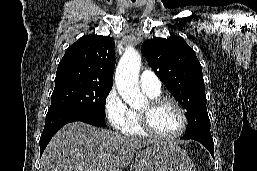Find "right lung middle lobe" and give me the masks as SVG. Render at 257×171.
Segmentation results:
<instances>
[{"label":"right lung middle lobe","instance_id":"obj_1","mask_svg":"<svg viewBox=\"0 0 257 171\" xmlns=\"http://www.w3.org/2000/svg\"><path fill=\"white\" fill-rule=\"evenodd\" d=\"M112 86L74 83L54 88L48 113L78 110L105 119V102Z\"/></svg>","mask_w":257,"mask_h":171}]
</instances>
